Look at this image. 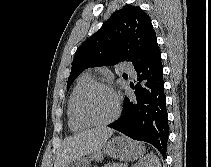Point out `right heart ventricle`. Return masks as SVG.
I'll list each match as a JSON object with an SVG mask.
<instances>
[{
    "label": "right heart ventricle",
    "mask_w": 211,
    "mask_h": 167,
    "mask_svg": "<svg viewBox=\"0 0 211 167\" xmlns=\"http://www.w3.org/2000/svg\"><path fill=\"white\" fill-rule=\"evenodd\" d=\"M91 81V76L89 73H82L76 80L71 93L69 95L68 101H67V120H68V126L69 128L74 131H82L86 128H88V125L80 122L74 113V103L77 94L79 91L88 83Z\"/></svg>",
    "instance_id": "1"
}]
</instances>
